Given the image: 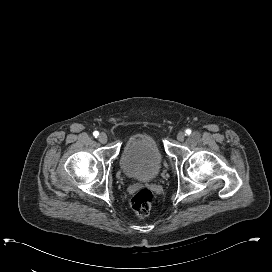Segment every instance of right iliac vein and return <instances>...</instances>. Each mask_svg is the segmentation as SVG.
<instances>
[{
	"instance_id": "1",
	"label": "right iliac vein",
	"mask_w": 272,
	"mask_h": 272,
	"mask_svg": "<svg viewBox=\"0 0 272 272\" xmlns=\"http://www.w3.org/2000/svg\"><path fill=\"white\" fill-rule=\"evenodd\" d=\"M98 140H99V142L105 144L108 141V137H107V135L105 133H101L98 136Z\"/></svg>"
}]
</instances>
